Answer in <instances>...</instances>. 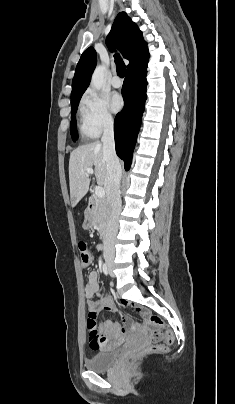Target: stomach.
Returning <instances> with one entry per match:
<instances>
[{"instance_id":"0dacf381","label":"stomach","mask_w":235,"mask_h":404,"mask_svg":"<svg viewBox=\"0 0 235 404\" xmlns=\"http://www.w3.org/2000/svg\"><path fill=\"white\" fill-rule=\"evenodd\" d=\"M89 227H90V221L87 220V221L84 223L83 228H84V229H88Z\"/></svg>"}]
</instances>
